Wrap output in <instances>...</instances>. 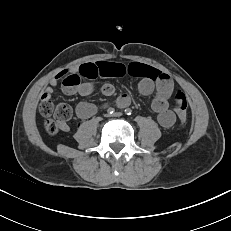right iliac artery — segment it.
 <instances>
[{
  "instance_id": "1",
  "label": "right iliac artery",
  "mask_w": 231,
  "mask_h": 231,
  "mask_svg": "<svg viewBox=\"0 0 231 231\" xmlns=\"http://www.w3.org/2000/svg\"><path fill=\"white\" fill-rule=\"evenodd\" d=\"M114 112H115V109H114V108H109V109H108V113H109V114H113Z\"/></svg>"
}]
</instances>
